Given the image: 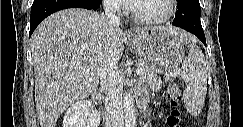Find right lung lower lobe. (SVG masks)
Listing matches in <instances>:
<instances>
[{"label":"right lung lower lobe","instance_id":"98d812e1","mask_svg":"<svg viewBox=\"0 0 243 127\" xmlns=\"http://www.w3.org/2000/svg\"><path fill=\"white\" fill-rule=\"evenodd\" d=\"M100 4L101 0H34L31 7L29 37L39 23L54 12L67 8L96 10Z\"/></svg>","mask_w":243,"mask_h":127}]
</instances>
